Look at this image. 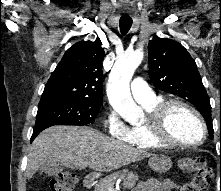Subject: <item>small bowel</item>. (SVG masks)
Here are the masks:
<instances>
[{
	"mask_svg": "<svg viewBox=\"0 0 221 191\" xmlns=\"http://www.w3.org/2000/svg\"><path fill=\"white\" fill-rule=\"evenodd\" d=\"M133 191H183V185L172 181L145 180L140 182Z\"/></svg>",
	"mask_w": 221,
	"mask_h": 191,
	"instance_id": "c3829d8e",
	"label": "small bowel"
}]
</instances>
